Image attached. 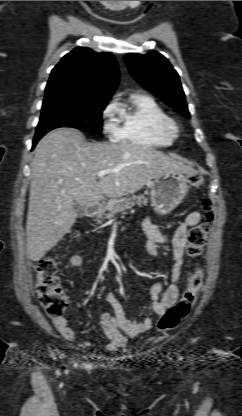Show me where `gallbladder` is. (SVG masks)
Segmentation results:
<instances>
[{
	"label": "gallbladder",
	"mask_w": 242,
	"mask_h": 416,
	"mask_svg": "<svg viewBox=\"0 0 242 416\" xmlns=\"http://www.w3.org/2000/svg\"><path fill=\"white\" fill-rule=\"evenodd\" d=\"M74 207H75V210H76L77 217H83L84 214H85V206L80 205V204L75 202Z\"/></svg>",
	"instance_id": "gallbladder-1"
}]
</instances>
